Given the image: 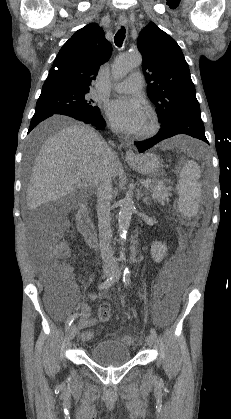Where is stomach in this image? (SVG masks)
<instances>
[{"mask_svg": "<svg viewBox=\"0 0 231 419\" xmlns=\"http://www.w3.org/2000/svg\"><path fill=\"white\" fill-rule=\"evenodd\" d=\"M130 166L143 175L156 178L160 174V158L150 152L137 155L134 159L128 160Z\"/></svg>", "mask_w": 231, "mask_h": 419, "instance_id": "1", "label": "stomach"}]
</instances>
